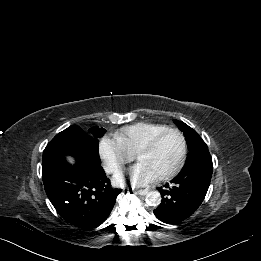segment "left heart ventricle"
I'll return each instance as SVG.
<instances>
[{
  "label": "left heart ventricle",
  "instance_id": "obj_1",
  "mask_svg": "<svg viewBox=\"0 0 261 261\" xmlns=\"http://www.w3.org/2000/svg\"><path fill=\"white\" fill-rule=\"evenodd\" d=\"M181 154V141L177 134L168 133L156 144L154 149L138 157L155 176L169 172L177 163Z\"/></svg>",
  "mask_w": 261,
  "mask_h": 261
}]
</instances>
